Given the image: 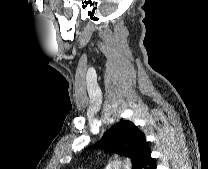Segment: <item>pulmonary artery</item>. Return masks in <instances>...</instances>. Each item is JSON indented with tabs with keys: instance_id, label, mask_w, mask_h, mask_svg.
<instances>
[{
	"instance_id": "obj_1",
	"label": "pulmonary artery",
	"mask_w": 208,
	"mask_h": 169,
	"mask_svg": "<svg viewBox=\"0 0 208 169\" xmlns=\"http://www.w3.org/2000/svg\"><path fill=\"white\" fill-rule=\"evenodd\" d=\"M108 169H129V167L123 166L120 160H115Z\"/></svg>"
}]
</instances>
